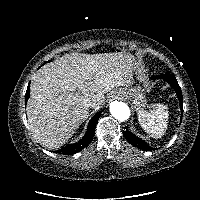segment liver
Here are the masks:
<instances>
[{"mask_svg": "<svg viewBox=\"0 0 200 200\" xmlns=\"http://www.w3.org/2000/svg\"><path fill=\"white\" fill-rule=\"evenodd\" d=\"M135 64L126 52H76L44 65L32 77L26 108L33 137L50 149L67 143L89 115L83 99L101 106L104 94L131 83Z\"/></svg>", "mask_w": 200, "mask_h": 200, "instance_id": "obj_1", "label": "liver"}]
</instances>
